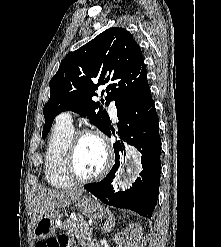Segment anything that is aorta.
Segmentation results:
<instances>
[{
  "label": "aorta",
  "mask_w": 221,
  "mask_h": 247,
  "mask_svg": "<svg viewBox=\"0 0 221 247\" xmlns=\"http://www.w3.org/2000/svg\"><path fill=\"white\" fill-rule=\"evenodd\" d=\"M130 171H131V169H130V168H128V169H127V172H128V173H130Z\"/></svg>",
  "instance_id": "aorta-1"
}]
</instances>
